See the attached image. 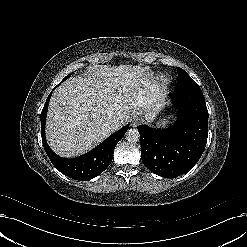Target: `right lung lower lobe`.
Listing matches in <instances>:
<instances>
[{
    "mask_svg": "<svg viewBox=\"0 0 247 247\" xmlns=\"http://www.w3.org/2000/svg\"><path fill=\"white\" fill-rule=\"evenodd\" d=\"M51 95L52 92L49 94L41 113V136L46 154L54 167L70 178L85 181L98 176L110 165L114 148L128 130V125L82 156L72 159L59 157L50 149L45 139V120Z\"/></svg>",
    "mask_w": 247,
    "mask_h": 247,
    "instance_id": "98d812e1",
    "label": "right lung lower lobe"
}]
</instances>
